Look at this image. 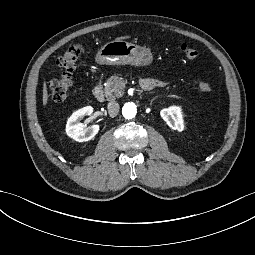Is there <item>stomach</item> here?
<instances>
[{"label":"stomach","mask_w":255,"mask_h":255,"mask_svg":"<svg viewBox=\"0 0 255 255\" xmlns=\"http://www.w3.org/2000/svg\"><path fill=\"white\" fill-rule=\"evenodd\" d=\"M152 52L144 47L125 40L111 41L102 46L95 55L97 65L149 66L153 62Z\"/></svg>","instance_id":"1"}]
</instances>
